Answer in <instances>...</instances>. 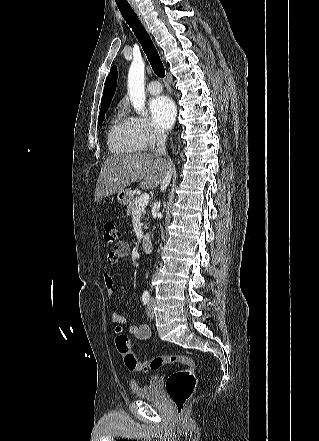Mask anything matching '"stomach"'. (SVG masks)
Segmentation results:
<instances>
[{
    "label": "stomach",
    "mask_w": 319,
    "mask_h": 441,
    "mask_svg": "<svg viewBox=\"0 0 319 441\" xmlns=\"http://www.w3.org/2000/svg\"><path fill=\"white\" fill-rule=\"evenodd\" d=\"M132 199L133 193L130 189L121 190L117 194V200L122 205L130 203Z\"/></svg>",
    "instance_id": "0dacf381"
}]
</instances>
